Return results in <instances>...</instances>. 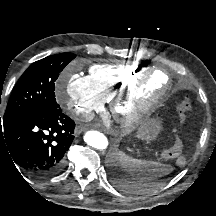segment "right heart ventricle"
<instances>
[{
  "mask_svg": "<svg viewBox=\"0 0 216 216\" xmlns=\"http://www.w3.org/2000/svg\"><path fill=\"white\" fill-rule=\"evenodd\" d=\"M148 69L130 63H103L89 68V78L104 100H110L117 92L129 85Z\"/></svg>",
  "mask_w": 216,
  "mask_h": 216,
  "instance_id": "right-heart-ventricle-1",
  "label": "right heart ventricle"
}]
</instances>
